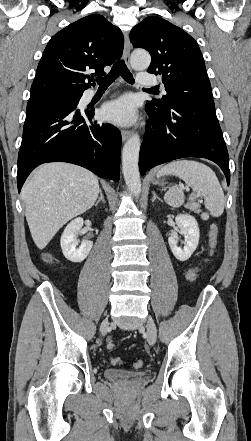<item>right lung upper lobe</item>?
Listing matches in <instances>:
<instances>
[{
  "mask_svg": "<svg viewBox=\"0 0 251 441\" xmlns=\"http://www.w3.org/2000/svg\"><path fill=\"white\" fill-rule=\"evenodd\" d=\"M124 47L121 30L102 15H89L56 33L47 44L31 86L30 99L54 95H82L94 86L91 76L104 75V67L120 58Z\"/></svg>",
  "mask_w": 251,
  "mask_h": 441,
  "instance_id": "obj_1",
  "label": "right lung upper lobe"
}]
</instances>
